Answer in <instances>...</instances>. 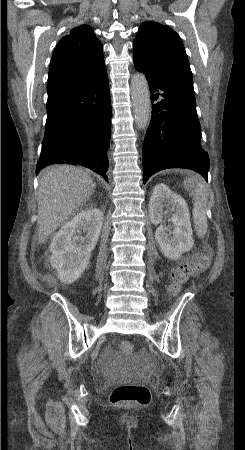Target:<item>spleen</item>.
Segmentation results:
<instances>
[{"instance_id": "1", "label": "spleen", "mask_w": 245, "mask_h": 450, "mask_svg": "<svg viewBox=\"0 0 245 450\" xmlns=\"http://www.w3.org/2000/svg\"><path fill=\"white\" fill-rule=\"evenodd\" d=\"M186 189L193 188L191 195L194 198L193 218L197 234L203 237L207 232V190L205 183L199 177L186 178L184 181Z\"/></svg>"}]
</instances>
